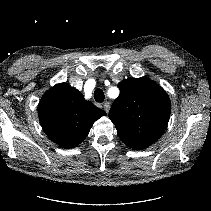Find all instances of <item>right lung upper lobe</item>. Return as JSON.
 <instances>
[{
    "instance_id": "cb5924a9",
    "label": "right lung upper lobe",
    "mask_w": 211,
    "mask_h": 211,
    "mask_svg": "<svg viewBox=\"0 0 211 211\" xmlns=\"http://www.w3.org/2000/svg\"><path fill=\"white\" fill-rule=\"evenodd\" d=\"M41 126L56 144L73 148L88 135L93 123L106 115L74 87L66 83L49 89L38 105Z\"/></svg>"
}]
</instances>
